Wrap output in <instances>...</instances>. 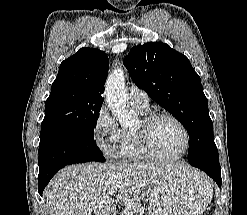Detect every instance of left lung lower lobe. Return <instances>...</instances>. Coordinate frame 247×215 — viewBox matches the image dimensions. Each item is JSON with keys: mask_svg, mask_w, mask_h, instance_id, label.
<instances>
[{"mask_svg": "<svg viewBox=\"0 0 247 215\" xmlns=\"http://www.w3.org/2000/svg\"><path fill=\"white\" fill-rule=\"evenodd\" d=\"M189 163L208 174L221 187V168L219 155L213 141L205 140L190 150Z\"/></svg>", "mask_w": 247, "mask_h": 215, "instance_id": "0a47b994", "label": "left lung lower lobe"}]
</instances>
